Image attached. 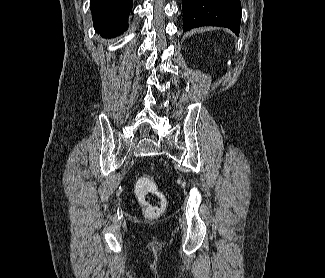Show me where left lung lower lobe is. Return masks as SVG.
<instances>
[{
	"label": "left lung lower lobe",
	"mask_w": 325,
	"mask_h": 278,
	"mask_svg": "<svg viewBox=\"0 0 325 278\" xmlns=\"http://www.w3.org/2000/svg\"><path fill=\"white\" fill-rule=\"evenodd\" d=\"M183 32L211 25L221 26L239 35L240 0H183Z\"/></svg>",
	"instance_id": "left-lung-lower-lobe-1"
}]
</instances>
